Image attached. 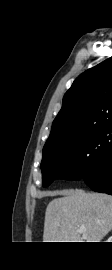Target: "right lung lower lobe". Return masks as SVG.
<instances>
[{"label": "right lung lower lobe", "mask_w": 112, "mask_h": 270, "mask_svg": "<svg viewBox=\"0 0 112 270\" xmlns=\"http://www.w3.org/2000/svg\"><path fill=\"white\" fill-rule=\"evenodd\" d=\"M83 180L94 191L112 195V146L104 154L98 168L89 172Z\"/></svg>", "instance_id": "right-lung-lower-lobe-1"}]
</instances>
